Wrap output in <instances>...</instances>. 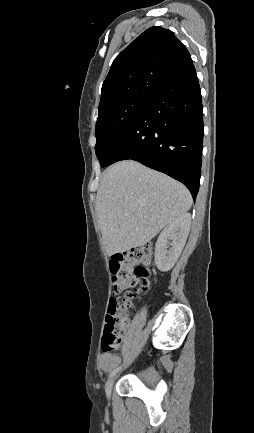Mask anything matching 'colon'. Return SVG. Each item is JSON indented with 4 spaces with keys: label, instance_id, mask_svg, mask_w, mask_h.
I'll return each mask as SVG.
<instances>
[{
    "label": "colon",
    "instance_id": "colon-1",
    "mask_svg": "<svg viewBox=\"0 0 254 433\" xmlns=\"http://www.w3.org/2000/svg\"><path fill=\"white\" fill-rule=\"evenodd\" d=\"M153 250L144 246L114 255L111 261L113 287L116 291H124V298L110 299L102 350H116L121 342L127 326L126 311L133 306V300L152 284L149 265L152 262Z\"/></svg>",
    "mask_w": 254,
    "mask_h": 433
}]
</instances>
